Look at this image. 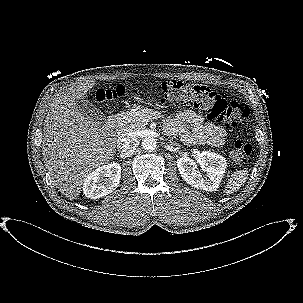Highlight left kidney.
<instances>
[{"mask_svg": "<svg viewBox=\"0 0 303 303\" xmlns=\"http://www.w3.org/2000/svg\"><path fill=\"white\" fill-rule=\"evenodd\" d=\"M195 159L196 162L187 156L177 159L181 177L194 188L209 192L217 190L227 166L225 158L215 152L203 151ZM197 164L205 167L204 178L198 171Z\"/></svg>", "mask_w": 303, "mask_h": 303, "instance_id": "5707ae66", "label": "left kidney"}]
</instances>
